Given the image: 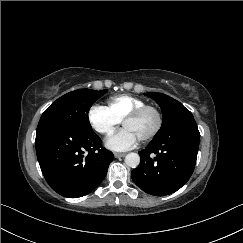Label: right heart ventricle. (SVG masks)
Segmentation results:
<instances>
[{
	"instance_id": "right-heart-ventricle-1",
	"label": "right heart ventricle",
	"mask_w": 243,
	"mask_h": 243,
	"mask_svg": "<svg viewBox=\"0 0 243 243\" xmlns=\"http://www.w3.org/2000/svg\"><path fill=\"white\" fill-rule=\"evenodd\" d=\"M144 105H146L145 101L128 94L113 96L108 101L109 110L120 121L134 109Z\"/></svg>"
}]
</instances>
